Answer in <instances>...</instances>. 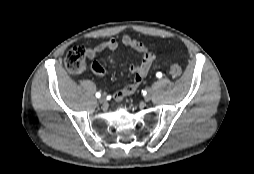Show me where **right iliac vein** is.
Masks as SVG:
<instances>
[{
  "label": "right iliac vein",
  "mask_w": 254,
  "mask_h": 174,
  "mask_svg": "<svg viewBox=\"0 0 254 174\" xmlns=\"http://www.w3.org/2000/svg\"><path fill=\"white\" fill-rule=\"evenodd\" d=\"M99 101H100L101 103H105V102H106V97H105V95L101 96L100 99H99Z\"/></svg>",
  "instance_id": "obj_1"
}]
</instances>
